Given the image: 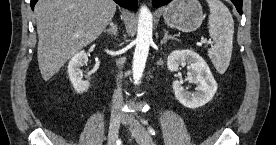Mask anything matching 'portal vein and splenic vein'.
Returning a JSON list of instances; mask_svg holds the SVG:
<instances>
[{
    "mask_svg": "<svg viewBox=\"0 0 276 145\" xmlns=\"http://www.w3.org/2000/svg\"><path fill=\"white\" fill-rule=\"evenodd\" d=\"M202 43H204V44H209V45H212V44H213V42H212L211 40H206V39H203V40H202Z\"/></svg>",
    "mask_w": 276,
    "mask_h": 145,
    "instance_id": "1",
    "label": "portal vein and splenic vein"
}]
</instances>
